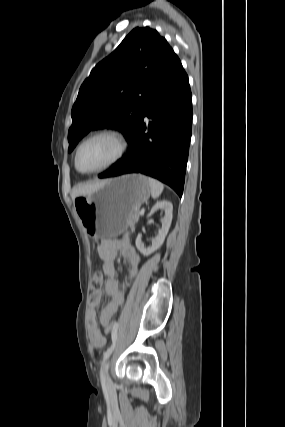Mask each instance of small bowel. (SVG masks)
<instances>
[{
	"mask_svg": "<svg viewBox=\"0 0 285 427\" xmlns=\"http://www.w3.org/2000/svg\"><path fill=\"white\" fill-rule=\"evenodd\" d=\"M118 253H121L123 258L128 262V279L131 281L137 274L140 258L132 246L129 238L121 239H105L98 247V254L103 261V271L107 276L104 292L109 296V301L102 309L99 322L103 326H107L112 322L113 316L124 301V292L116 279L115 260ZM102 298V290H93L89 297L90 307L94 314L95 308L100 304ZM91 343L95 348L105 346L106 340L100 331L98 324L94 322L90 331Z\"/></svg>",
	"mask_w": 285,
	"mask_h": 427,
	"instance_id": "c3829d8e",
	"label": "small bowel"
}]
</instances>
